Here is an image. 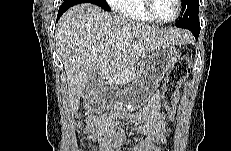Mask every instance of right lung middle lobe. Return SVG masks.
I'll list each match as a JSON object with an SVG mask.
<instances>
[{"label": "right lung middle lobe", "instance_id": "1", "mask_svg": "<svg viewBox=\"0 0 231 151\" xmlns=\"http://www.w3.org/2000/svg\"><path fill=\"white\" fill-rule=\"evenodd\" d=\"M84 3H92L95 4L101 8H103L106 11H110V8L106 2V0H81Z\"/></svg>", "mask_w": 231, "mask_h": 151}]
</instances>
